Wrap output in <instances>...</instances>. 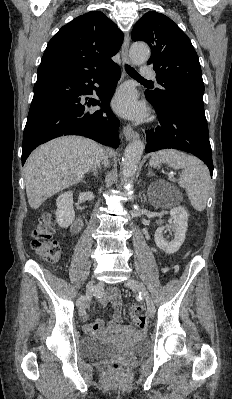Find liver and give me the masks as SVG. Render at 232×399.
Instances as JSON below:
<instances>
[{"mask_svg": "<svg viewBox=\"0 0 232 399\" xmlns=\"http://www.w3.org/2000/svg\"><path fill=\"white\" fill-rule=\"evenodd\" d=\"M112 154L113 150H106ZM105 150L80 136L56 138L36 148L26 160L25 184L30 207L37 209L54 194L78 184L84 174L100 164Z\"/></svg>", "mask_w": 232, "mask_h": 399, "instance_id": "obj_1", "label": "liver"}]
</instances>
